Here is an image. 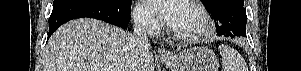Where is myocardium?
<instances>
[{
  "mask_svg": "<svg viewBox=\"0 0 301 71\" xmlns=\"http://www.w3.org/2000/svg\"><path fill=\"white\" fill-rule=\"evenodd\" d=\"M184 4L189 6L191 9H193L200 17L201 20V26L195 33H181L178 31H175L172 28H168V31L170 34L183 42H196L201 39H203L205 36L208 35L211 29V20L210 16L207 13V11L199 5L197 2L194 1H183Z\"/></svg>",
  "mask_w": 301,
  "mask_h": 71,
  "instance_id": "1",
  "label": "myocardium"
}]
</instances>
